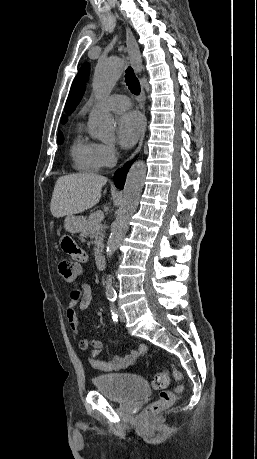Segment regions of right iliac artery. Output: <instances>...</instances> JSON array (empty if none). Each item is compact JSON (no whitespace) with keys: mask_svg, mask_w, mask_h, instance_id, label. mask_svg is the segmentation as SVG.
<instances>
[{"mask_svg":"<svg viewBox=\"0 0 257 459\" xmlns=\"http://www.w3.org/2000/svg\"><path fill=\"white\" fill-rule=\"evenodd\" d=\"M111 302H113L111 299H109ZM111 314H112V319L114 322H118V311L115 307L114 304H111Z\"/></svg>","mask_w":257,"mask_h":459,"instance_id":"82829eb1","label":"right iliac artery"}]
</instances>
